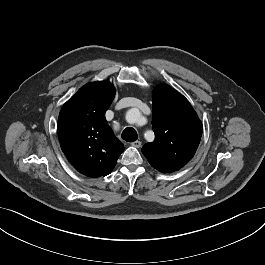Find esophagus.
I'll use <instances>...</instances> for the list:
<instances>
[{"mask_svg":"<svg viewBox=\"0 0 265 265\" xmlns=\"http://www.w3.org/2000/svg\"><path fill=\"white\" fill-rule=\"evenodd\" d=\"M131 145L133 147L140 148L141 147V142L140 141H135V142L131 143Z\"/></svg>","mask_w":265,"mask_h":265,"instance_id":"34e87169","label":"esophagus"}]
</instances>
